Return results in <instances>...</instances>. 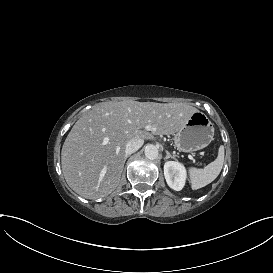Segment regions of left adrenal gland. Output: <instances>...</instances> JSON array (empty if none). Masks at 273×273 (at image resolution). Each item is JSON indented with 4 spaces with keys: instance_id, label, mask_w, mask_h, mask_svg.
<instances>
[{
    "instance_id": "1",
    "label": "left adrenal gland",
    "mask_w": 273,
    "mask_h": 273,
    "mask_svg": "<svg viewBox=\"0 0 273 273\" xmlns=\"http://www.w3.org/2000/svg\"><path fill=\"white\" fill-rule=\"evenodd\" d=\"M165 153H166V156L164 157V159L173 158V159L177 160L175 155H172L169 151L165 150Z\"/></svg>"
}]
</instances>
